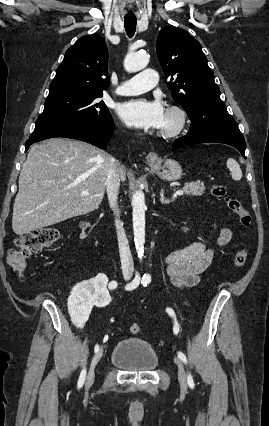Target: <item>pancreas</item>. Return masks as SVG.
<instances>
[{
	"label": "pancreas",
	"instance_id": "1",
	"mask_svg": "<svg viewBox=\"0 0 269 426\" xmlns=\"http://www.w3.org/2000/svg\"><path fill=\"white\" fill-rule=\"evenodd\" d=\"M183 191L188 196H201L205 191V186L199 181L186 183Z\"/></svg>",
	"mask_w": 269,
	"mask_h": 426
}]
</instances>
